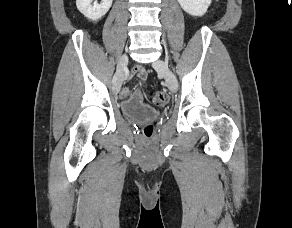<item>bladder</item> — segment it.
I'll return each mask as SVG.
<instances>
[{"instance_id": "31cf9c89", "label": "bladder", "mask_w": 292, "mask_h": 228, "mask_svg": "<svg viewBox=\"0 0 292 228\" xmlns=\"http://www.w3.org/2000/svg\"><path fill=\"white\" fill-rule=\"evenodd\" d=\"M123 114L135 121H149L158 116V111L151 106L132 101L125 102L122 105Z\"/></svg>"}]
</instances>
